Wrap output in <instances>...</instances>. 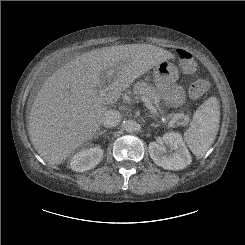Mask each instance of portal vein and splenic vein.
I'll return each instance as SVG.
<instances>
[{
    "label": "portal vein and splenic vein",
    "instance_id": "portal-vein-and-splenic-vein-1",
    "mask_svg": "<svg viewBox=\"0 0 245 245\" xmlns=\"http://www.w3.org/2000/svg\"><path fill=\"white\" fill-rule=\"evenodd\" d=\"M107 75H108L109 78L112 77L113 76V71L112 70L108 71L107 72ZM107 90H108V87L103 86L99 90V95L100 96H105ZM140 99L142 100V102H144V104L151 111V113L156 116L157 115V110L153 106L152 102L148 98H146L144 96H141ZM182 117H183V114H179L178 116L173 117V119L170 122H168V125L167 126L168 127H173L174 124L177 122L178 118H182Z\"/></svg>",
    "mask_w": 245,
    "mask_h": 245
}]
</instances>
